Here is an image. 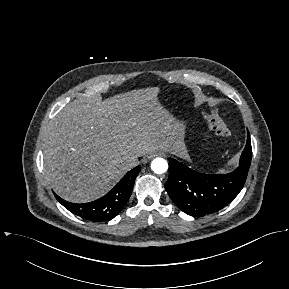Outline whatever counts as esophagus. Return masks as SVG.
I'll return each instance as SVG.
<instances>
[{
  "mask_svg": "<svg viewBox=\"0 0 289 289\" xmlns=\"http://www.w3.org/2000/svg\"><path fill=\"white\" fill-rule=\"evenodd\" d=\"M159 155H160L159 153H153V154L150 155L149 158H154V157L159 156Z\"/></svg>",
  "mask_w": 289,
  "mask_h": 289,
  "instance_id": "esophagus-1",
  "label": "esophagus"
}]
</instances>
